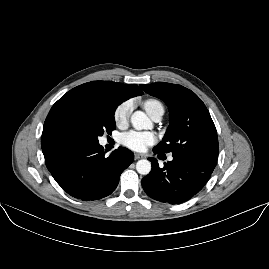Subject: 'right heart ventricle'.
Here are the masks:
<instances>
[{
	"label": "right heart ventricle",
	"mask_w": 269,
	"mask_h": 269,
	"mask_svg": "<svg viewBox=\"0 0 269 269\" xmlns=\"http://www.w3.org/2000/svg\"><path fill=\"white\" fill-rule=\"evenodd\" d=\"M158 105H161V103L155 99H147L144 102V109L146 110V112L148 114H150V112L157 107Z\"/></svg>",
	"instance_id": "1"
}]
</instances>
